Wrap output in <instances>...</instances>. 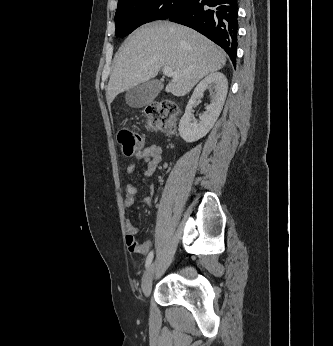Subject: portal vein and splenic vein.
Instances as JSON below:
<instances>
[{"mask_svg":"<svg viewBox=\"0 0 333 346\" xmlns=\"http://www.w3.org/2000/svg\"><path fill=\"white\" fill-rule=\"evenodd\" d=\"M162 72L165 76L172 77L173 79L178 78V74L175 73L170 67H163Z\"/></svg>","mask_w":333,"mask_h":346,"instance_id":"portal-vein-and-splenic-vein-1","label":"portal vein and splenic vein"}]
</instances>
